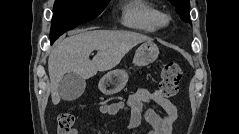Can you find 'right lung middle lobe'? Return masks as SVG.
<instances>
[{"label": "right lung middle lobe", "mask_w": 239, "mask_h": 134, "mask_svg": "<svg viewBox=\"0 0 239 134\" xmlns=\"http://www.w3.org/2000/svg\"><path fill=\"white\" fill-rule=\"evenodd\" d=\"M109 0H56L50 32L55 41L64 32L96 18Z\"/></svg>", "instance_id": "1"}]
</instances>
